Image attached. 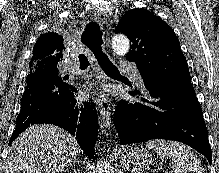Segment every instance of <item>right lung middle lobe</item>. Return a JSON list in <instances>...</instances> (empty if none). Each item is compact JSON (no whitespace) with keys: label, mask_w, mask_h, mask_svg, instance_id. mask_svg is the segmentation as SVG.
Returning <instances> with one entry per match:
<instances>
[{"label":"right lung middle lobe","mask_w":219,"mask_h":173,"mask_svg":"<svg viewBox=\"0 0 219 173\" xmlns=\"http://www.w3.org/2000/svg\"><path fill=\"white\" fill-rule=\"evenodd\" d=\"M30 67V73H35V72H51V73H54L60 77L61 74L59 72V64L58 63H49V64H43V65H40V66H29ZM63 78V77H62Z\"/></svg>","instance_id":"right-lung-middle-lobe-1"}]
</instances>
